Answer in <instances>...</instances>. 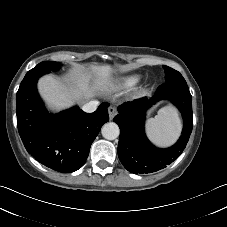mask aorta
<instances>
[{
	"instance_id": "aorta-1",
	"label": "aorta",
	"mask_w": 227,
	"mask_h": 227,
	"mask_svg": "<svg viewBox=\"0 0 227 227\" xmlns=\"http://www.w3.org/2000/svg\"><path fill=\"white\" fill-rule=\"evenodd\" d=\"M101 133L105 139L114 140L119 136L120 129L116 123L109 122L103 125Z\"/></svg>"
}]
</instances>
